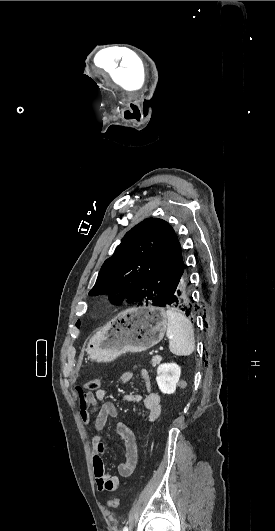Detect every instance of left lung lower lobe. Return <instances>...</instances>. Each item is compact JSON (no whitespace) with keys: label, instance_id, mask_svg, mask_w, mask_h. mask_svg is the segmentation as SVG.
I'll return each instance as SVG.
<instances>
[{"label":"left lung lower lobe","instance_id":"1","mask_svg":"<svg viewBox=\"0 0 275 531\" xmlns=\"http://www.w3.org/2000/svg\"><path fill=\"white\" fill-rule=\"evenodd\" d=\"M164 306L182 311L186 316H193L196 305H194L191 283L186 271H184L173 295Z\"/></svg>","mask_w":275,"mask_h":531}]
</instances>
